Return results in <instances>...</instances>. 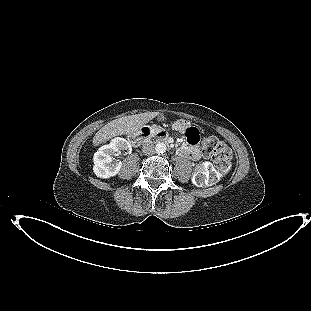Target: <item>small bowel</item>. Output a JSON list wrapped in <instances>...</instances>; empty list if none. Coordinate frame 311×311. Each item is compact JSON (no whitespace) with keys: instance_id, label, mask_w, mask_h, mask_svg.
Instances as JSON below:
<instances>
[{"instance_id":"1","label":"small bowel","mask_w":311,"mask_h":311,"mask_svg":"<svg viewBox=\"0 0 311 311\" xmlns=\"http://www.w3.org/2000/svg\"><path fill=\"white\" fill-rule=\"evenodd\" d=\"M172 127L184 134L185 138L179 149V154L184 157L197 160L200 157V151L197 147V141L191 138V132L195 128L191 127L190 124L183 119H179L173 122Z\"/></svg>"}]
</instances>
